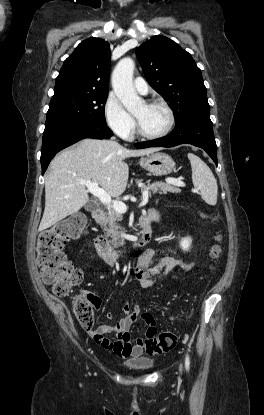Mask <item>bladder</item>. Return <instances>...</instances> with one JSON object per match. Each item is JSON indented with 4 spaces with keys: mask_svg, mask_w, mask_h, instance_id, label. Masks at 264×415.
I'll list each match as a JSON object with an SVG mask.
<instances>
[{
    "mask_svg": "<svg viewBox=\"0 0 264 415\" xmlns=\"http://www.w3.org/2000/svg\"><path fill=\"white\" fill-rule=\"evenodd\" d=\"M123 364L133 371H144L153 366V361L148 358L127 359Z\"/></svg>",
    "mask_w": 264,
    "mask_h": 415,
    "instance_id": "1",
    "label": "bladder"
}]
</instances>
